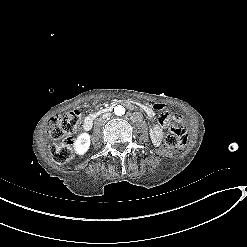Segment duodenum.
<instances>
[{
    "label": "duodenum",
    "instance_id": "410a0bca",
    "mask_svg": "<svg viewBox=\"0 0 247 247\" xmlns=\"http://www.w3.org/2000/svg\"><path fill=\"white\" fill-rule=\"evenodd\" d=\"M120 103L127 104L128 106H134V102L133 101H129V100L115 101L110 106L106 107L105 109H103V110H101V111H99L97 113H93V114L89 115L88 117H86L85 120H84V123H83L84 129L86 131H89L92 128L93 123H94L96 117H98L101 114L111 112L113 110V108L117 104H120Z\"/></svg>",
    "mask_w": 247,
    "mask_h": 247
}]
</instances>
